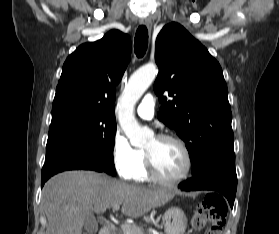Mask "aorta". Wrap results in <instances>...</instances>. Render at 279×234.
<instances>
[{
  "label": "aorta",
  "instance_id": "1",
  "mask_svg": "<svg viewBox=\"0 0 279 234\" xmlns=\"http://www.w3.org/2000/svg\"><path fill=\"white\" fill-rule=\"evenodd\" d=\"M154 64L138 69L129 79L120 101L119 123L132 145L143 146L151 135V130L142 128L134 115V106L157 75Z\"/></svg>",
  "mask_w": 279,
  "mask_h": 234
}]
</instances>
